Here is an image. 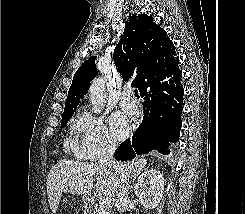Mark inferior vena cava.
<instances>
[{
	"instance_id": "602c4592",
	"label": "inferior vena cava",
	"mask_w": 245,
	"mask_h": 214,
	"mask_svg": "<svg viewBox=\"0 0 245 214\" xmlns=\"http://www.w3.org/2000/svg\"><path fill=\"white\" fill-rule=\"evenodd\" d=\"M115 146L107 141L100 147L99 165L119 174L117 183L115 207L119 212H124L128 203L129 178L125 173V167L114 158Z\"/></svg>"
}]
</instances>
